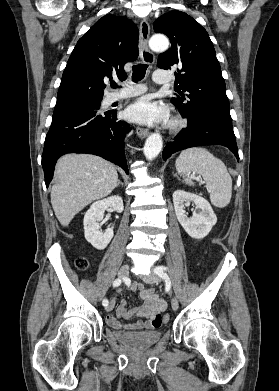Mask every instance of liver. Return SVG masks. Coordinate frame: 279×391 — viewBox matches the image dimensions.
Listing matches in <instances>:
<instances>
[{"instance_id":"obj_1","label":"liver","mask_w":279,"mask_h":391,"mask_svg":"<svg viewBox=\"0 0 279 391\" xmlns=\"http://www.w3.org/2000/svg\"><path fill=\"white\" fill-rule=\"evenodd\" d=\"M56 183L51 204L62 226L92 201L109 195L118 183V173L110 162L90 154H66L55 167Z\"/></svg>"}]
</instances>
